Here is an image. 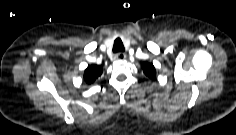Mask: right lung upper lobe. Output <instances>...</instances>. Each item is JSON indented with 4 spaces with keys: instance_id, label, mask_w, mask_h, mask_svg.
<instances>
[{
    "instance_id": "obj_1",
    "label": "right lung upper lobe",
    "mask_w": 236,
    "mask_h": 135,
    "mask_svg": "<svg viewBox=\"0 0 236 135\" xmlns=\"http://www.w3.org/2000/svg\"><path fill=\"white\" fill-rule=\"evenodd\" d=\"M102 74L101 65H89L84 71V81L88 84L93 83Z\"/></svg>"
}]
</instances>
